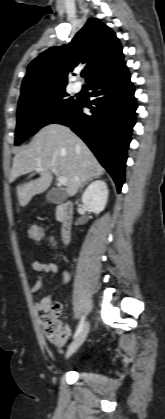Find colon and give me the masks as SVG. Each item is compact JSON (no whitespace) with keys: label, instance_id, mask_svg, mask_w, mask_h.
<instances>
[{"label":"colon","instance_id":"colon-1","mask_svg":"<svg viewBox=\"0 0 165 419\" xmlns=\"http://www.w3.org/2000/svg\"><path fill=\"white\" fill-rule=\"evenodd\" d=\"M30 238L34 241H40L44 238L45 232L41 227L32 226L29 229ZM62 307L59 303H53L50 306V312L41 317V328L44 334L56 345H64L69 337L70 331L58 319Z\"/></svg>","mask_w":165,"mask_h":419}]
</instances>
